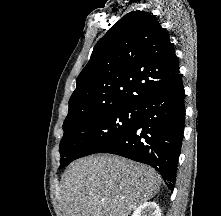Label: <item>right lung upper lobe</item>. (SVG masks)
<instances>
[{"label": "right lung upper lobe", "instance_id": "obj_1", "mask_svg": "<svg viewBox=\"0 0 221 216\" xmlns=\"http://www.w3.org/2000/svg\"><path fill=\"white\" fill-rule=\"evenodd\" d=\"M178 73L165 29L148 12H130L95 45L76 79L63 125L105 109L139 106Z\"/></svg>", "mask_w": 221, "mask_h": 216}]
</instances>
